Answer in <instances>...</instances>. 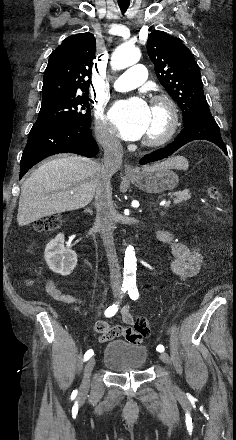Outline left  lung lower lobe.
<instances>
[{
    "instance_id": "left-lung-lower-lobe-1",
    "label": "left lung lower lobe",
    "mask_w": 236,
    "mask_h": 440,
    "mask_svg": "<svg viewBox=\"0 0 236 440\" xmlns=\"http://www.w3.org/2000/svg\"><path fill=\"white\" fill-rule=\"evenodd\" d=\"M193 140H208L213 142L220 147L226 155H228L227 148L222 141L220 130L215 119L210 112H205L185 126L173 143L165 148L145 155L141 159L140 164L144 165L149 162L164 159L172 155L177 149L186 143Z\"/></svg>"
}]
</instances>
